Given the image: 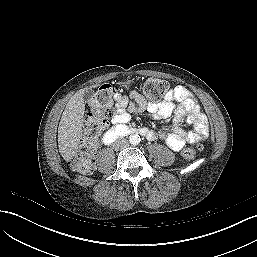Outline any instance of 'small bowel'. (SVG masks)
Segmentation results:
<instances>
[{
	"label": "small bowel",
	"mask_w": 257,
	"mask_h": 257,
	"mask_svg": "<svg viewBox=\"0 0 257 257\" xmlns=\"http://www.w3.org/2000/svg\"><path fill=\"white\" fill-rule=\"evenodd\" d=\"M129 97L133 103L129 102L128 97L124 95H116V110L111 119L113 125L127 124L130 120L131 110L142 111L147 109L149 112L163 118H168L174 114L172 131L162 130L159 135L170 148L176 151L182 149L186 143H194L208 133L205 114L200 110L192 94L181 85L170 89L164 100L159 103H147L145 98L137 91H131ZM175 102L178 103L177 107L174 105ZM184 119L193 125V131H187L182 127ZM148 136L153 139L156 134L150 132Z\"/></svg>",
	"instance_id": "1"
}]
</instances>
